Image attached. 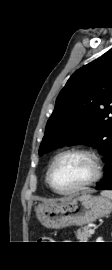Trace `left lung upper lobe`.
Instances as JSON below:
<instances>
[{"mask_svg": "<svg viewBox=\"0 0 112 270\" xmlns=\"http://www.w3.org/2000/svg\"><path fill=\"white\" fill-rule=\"evenodd\" d=\"M87 144L112 154V48L80 68L59 93L39 154L65 145Z\"/></svg>", "mask_w": 112, "mask_h": 270, "instance_id": "5c2ea615", "label": "left lung upper lobe"}]
</instances>
